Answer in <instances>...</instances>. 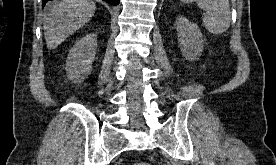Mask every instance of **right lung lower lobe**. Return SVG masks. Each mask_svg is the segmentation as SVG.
<instances>
[{"label":"right lung lower lobe","instance_id":"98d812e1","mask_svg":"<svg viewBox=\"0 0 276 165\" xmlns=\"http://www.w3.org/2000/svg\"><path fill=\"white\" fill-rule=\"evenodd\" d=\"M49 0H42V6L44 7V5L48 2ZM107 3L111 4V5H118L120 0H104Z\"/></svg>","mask_w":276,"mask_h":165}]
</instances>
